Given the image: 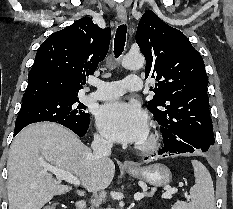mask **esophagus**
<instances>
[{
  "instance_id": "1",
  "label": "esophagus",
  "mask_w": 233,
  "mask_h": 209,
  "mask_svg": "<svg viewBox=\"0 0 233 209\" xmlns=\"http://www.w3.org/2000/svg\"><path fill=\"white\" fill-rule=\"evenodd\" d=\"M117 16L119 20H121L122 22H125L127 20V12H126V9L122 5L117 6ZM123 165L125 167H134V165L128 160H125L123 162Z\"/></svg>"
}]
</instances>
